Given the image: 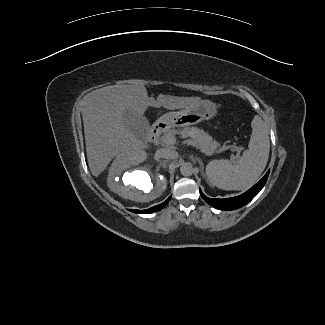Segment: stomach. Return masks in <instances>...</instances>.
Segmentation results:
<instances>
[{"mask_svg": "<svg viewBox=\"0 0 325 325\" xmlns=\"http://www.w3.org/2000/svg\"><path fill=\"white\" fill-rule=\"evenodd\" d=\"M217 114V105L209 100H202L194 106L178 112L164 114L160 121L169 126H188L213 118Z\"/></svg>", "mask_w": 325, "mask_h": 325, "instance_id": "stomach-1", "label": "stomach"}]
</instances>
